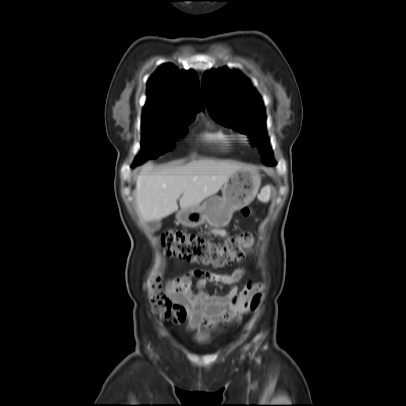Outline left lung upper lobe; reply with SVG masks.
<instances>
[{
  "mask_svg": "<svg viewBox=\"0 0 406 406\" xmlns=\"http://www.w3.org/2000/svg\"><path fill=\"white\" fill-rule=\"evenodd\" d=\"M202 97L216 121L249 135L251 144L261 147L264 163L275 164L268 148L262 100L243 75L226 67L205 72Z\"/></svg>",
  "mask_w": 406,
  "mask_h": 406,
  "instance_id": "obj_1",
  "label": "left lung upper lobe"
}]
</instances>
